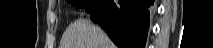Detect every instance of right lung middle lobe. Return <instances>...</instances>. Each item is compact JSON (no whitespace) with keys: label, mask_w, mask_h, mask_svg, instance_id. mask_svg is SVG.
Instances as JSON below:
<instances>
[{"label":"right lung middle lobe","mask_w":213,"mask_h":48,"mask_svg":"<svg viewBox=\"0 0 213 48\" xmlns=\"http://www.w3.org/2000/svg\"><path fill=\"white\" fill-rule=\"evenodd\" d=\"M96 2L97 0H68V3H71L76 8H85L88 12Z\"/></svg>","instance_id":"obj_1"}]
</instances>
